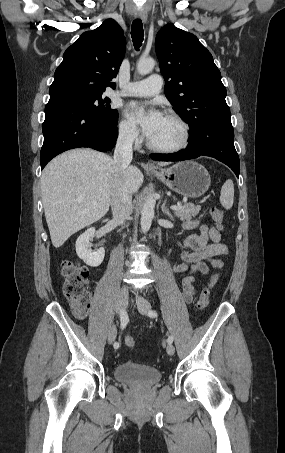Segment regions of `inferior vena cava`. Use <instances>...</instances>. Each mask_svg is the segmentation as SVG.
Wrapping results in <instances>:
<instances>
[{"instance_id": "obj_1", "label": "inferior vena cava", "mask_w": 285, "mask_h": 453, "mask_svg": "<svg viewBox=\"0 0 285 453\" xmlns=\"http://www.w3.org/2000/svg\"><path fill=\"white\" fill-rule=\"evenodd\" d=\"M134 139L133 130L120 134L118 137L113 163L119 170H125L132 161ZM110 205L113 213V222L116 224H123L132 213L131 192L120 178L113 184Z\"/></svg>"}]
</instances>
